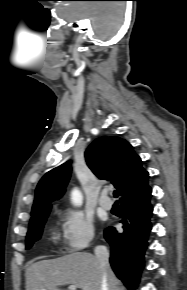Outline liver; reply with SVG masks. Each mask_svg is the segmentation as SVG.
<instances>
[{
  "mask_svg": "<svg viewBox=\"0 0 187 290\" xmlns=\"http://www.w3.org/2000/svg\"><path fill=\"white\" fill-rule=\"evenodd\" d=\"M108 290H119V281L106 268ZM103 268L96 256L77 252L57 259L41 260L26 269V290H61L76 285L82 290H101Z\"/></svg>",
  "mask_w": 187,
  "mask_h": 290,
  "instance_id": "6515ba94",
  "label": "liver"
}]
</instances>
